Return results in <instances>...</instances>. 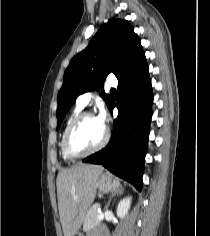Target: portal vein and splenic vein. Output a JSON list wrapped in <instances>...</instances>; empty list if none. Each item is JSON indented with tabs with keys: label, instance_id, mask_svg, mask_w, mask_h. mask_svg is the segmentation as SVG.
Returning a JSON list of instances; mask_svg holds the SVG:
<instances>
[{
	"label": "portal vein and splenic vein",
	"instance_id": "portal-vein-and-splenic-vein-1",
	"mask_svg": "<svg viewBox=\"0 0 210 236\" xmlns=\"http://www.w3.org/2000/svg\"><path fill=\"white\" fill-rule=\"evenodd\" d=\"M98 212H99V214L97 215V218L99 220H102L104 218V214L101 211H98Z\"/></svg>",
	"mask_w": 210,
	"mask_h": 236
}]
</instances>
